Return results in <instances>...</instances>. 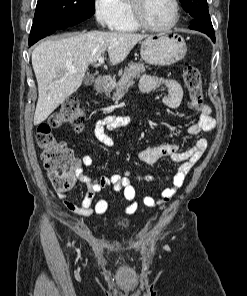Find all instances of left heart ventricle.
Masks as SVG:
<instances>
[{"mask_svg":"<svg viewBox=\"0 0 247 296\" xmlns=\"http://www.w3.org/2000/svg\"><path fill=\"white\" fill-rule=\"evenodd\" d=\"M144 19L151 25L168 24L173 16L171 0H144L142 5Z\"/></svg>","mask_w":247,"mask_h":296,"instance_id":"obj_1","label":"left heart ventricle"}]
</instances>
